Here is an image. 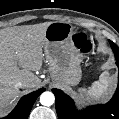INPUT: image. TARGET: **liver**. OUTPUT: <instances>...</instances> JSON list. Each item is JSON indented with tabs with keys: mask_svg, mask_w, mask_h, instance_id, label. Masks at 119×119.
I'll return each instance as SVG.
<instances>
[{
	"mask_svg": "<svg viewBox=\"0 0 119 119\" xmlns=\"http://www.w3.org/2000/svg\"><path fill=\"white\" fill-rule=\"evenodd\" d=\"M51 22L24 28L0 31V114L13 103L18 94L14 83L28 79L27 88L37 86L32 71L39 70L43 61V43ZM23 68L20 70L17 67Z\"/></svg>",
	"mask_w": 119,
	"mask_h": 119,
	"instance_id": "1",
	"label": "liver"
}]
</instances>
